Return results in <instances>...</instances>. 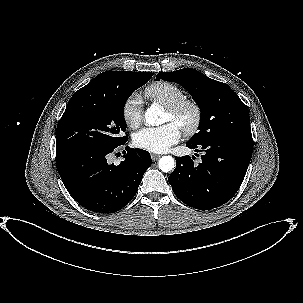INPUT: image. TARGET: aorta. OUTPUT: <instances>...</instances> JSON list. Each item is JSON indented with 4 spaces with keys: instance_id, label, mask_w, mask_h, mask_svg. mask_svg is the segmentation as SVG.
<instances>
[{
    "instance_id": "1",
    "label": "aorta",
    "mask_w": 303,
    "mask_h": 303,
    "mask_svg": "<svg viewBox=\"0 0 303 303\" xmlns=\"http://www.w3.org/2000/svg\"><path fill=\"white\" fill-rule=\"evenodd\" d=\"M162 115L161 109L157 105H151L145 112V119L149 125L157 126ZM174 159L171 156H163L159 160V169L163 172H169L174 168Z\"/></svg>"
}]
</instances>
